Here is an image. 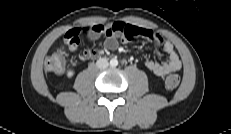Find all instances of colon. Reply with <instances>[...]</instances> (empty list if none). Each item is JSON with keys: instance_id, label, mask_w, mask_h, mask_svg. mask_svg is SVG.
Masks as SVG:
<instances>
[{"instance_id": "obj_1", "label": "colon", "mask_w": 231, "mask_h": 134, "mask_svg": "<svg viewBox=\"0 0 231 134\" xmlns=\"http://www.w3.org/2000/svg\"><path fill=\"white\" fill-rule=\"evenodd\" d=\"M65 53L57 51L46 59V69L53 73H62L65 68ZM180 83V77L177 74H170L165 79V86L168 89H175Z\"/></svg>"}]
</instances>
